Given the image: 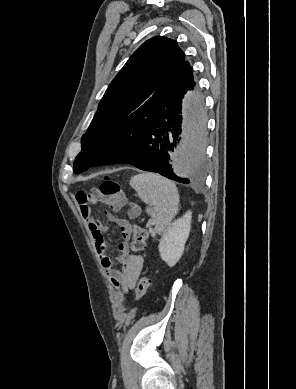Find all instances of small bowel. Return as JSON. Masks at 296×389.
Instances as JSON below:
<instances>
[{"mask_svg": "<svg viewBox=\"0 0 296 389\" xmlns=\"http://www.w3.org/2000/svg\"><path fill=\"white\" fill-rule=\"evenodd\" d=\"M76 200L79 204L81 215L92 234L101 264L109 280L116 288L121 289L123 292L132 290L141 274L143 258L140 255L132 254L129 250L128 241L132 230L130 221L118 218L112 212H107V218L119 225L123 238L118 245L119 255L117 256V262L121 265V268L117 269L107 254V242L104 238V232L108 226L98 221L92 214L91 205L102 201V199L96 192L91 194L80 192L76 195ZM122 206L123 201L111 208L113 211H118Z\"/></svg>", "mask_w": 296, "mask_h": 389, "instance_id": "small-bowel-1", "label": "small bowel"}]
</instances>
